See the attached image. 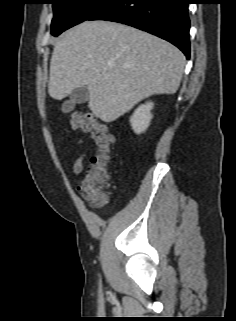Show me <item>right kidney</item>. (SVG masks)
Here are the masks:
<instances>
[{"label":"right kidney","mask_w":236,"mask_h":321,"mask_svg":"<svg viewBox=\"0 0 236 321\" xmlns=\"http://www.w3.org/2000/svg\"><path fill=\"white\" fill-rule=\"evenodd\" d=\"M153 106V102L140 105L130 117L131 127L136 134L145 132L149 127L151 119L153 118L151 113Z\"/></svg>","instance_id":"ca27d5eb"}]
</instances>
